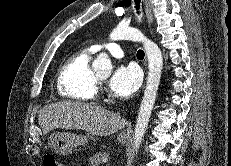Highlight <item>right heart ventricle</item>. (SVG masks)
Returning a JSON list of instances; mask_svg holds the SVG:
<instances>
[{
	"label": "right heart ventricle",
	"instance_id": "e07e8e85",
	"mask_svg": "<svg viewBox=\"0 0 231 166\" xmlns=\"http://www.w3.org/2000/svg\"><path fill=\"white\" fill-rule=\"evenodd\" d=\"M92 48L72 54L61 66L57 76L58 94L75 101H90L97 93L96 76L91 69Z\"/></svg>",
	"mask_w": 231,
	"mask_h": 166
}]
</instances>
